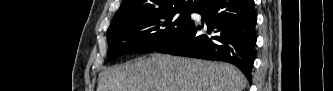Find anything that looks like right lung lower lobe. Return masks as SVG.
<instances>
[{
  "mask_svg": "<svg viewBox=\"0 0 333 91\" xmlns=\"http://www.w3.org/2000/svg\"><path fill=\"white\" fill-rule=\"evenodd\" d=\"M205 25L190 22L155 51L230 62L251 82L257 16L254 0H207L195 11Z\"/></svg>",
  "mask_w": 333,
  "mask_h": 91,
  "instance_id": "obj_1",
  "label": "right lung lower lobe"
}]
</instances>
